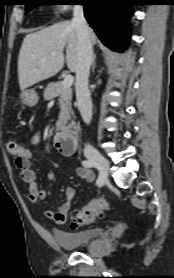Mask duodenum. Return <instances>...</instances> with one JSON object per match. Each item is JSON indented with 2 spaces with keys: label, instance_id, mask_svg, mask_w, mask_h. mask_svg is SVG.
Returning <instances> with one entry per match:
<instances>
[{
  "label": "duodenum",
  "instance_id": "obj_1",
  "mask_svg": "<svg viewBox=\"0 0 174 278\" xmlns=\"http://www.w3.org/2000/svg\"><path fill=\"white\" fill-rule=\"evenodd\" d=\"M77 127L71 123L54 136V144L63 155L73 154L76 147Z\"/></svg>",
  "mask_w": 174,
  "mask_h": 278
}]
</instances>
